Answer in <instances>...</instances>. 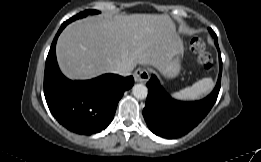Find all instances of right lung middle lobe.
<instances>
[{"label":"right lung middle lobe","instance_id":"obj_1","mask_svg":"<svg viewBox=\"0 0 261 162\" xmlns=\"http://www.w3.org/2000/svg\"><path fill=\"white\" fill-rule=\"evenodd\" d=\"M98 13H99V11H96V10H86V11H83V12L77 14L76 16H74L72 18L75 20V19H78V18L85 17L88 14H98Z\"/></svg>","mask_w":261,"mask_h":162}]
</instances>
